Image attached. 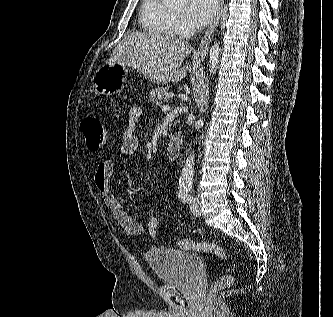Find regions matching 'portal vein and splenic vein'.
Here are the masks:
<instances>
[{
    "instance_id": "portal-vein-and-splenic-vein-1",
    "label": "portal vein and splenic vein",
    "mask_w": 333,
    "mask_h": 317,
    "mask_svg": "<svg viewBox=\"0 0 333 317\" xmlns=\"http://www.w3.org/2000/svg\"><path fill=\"white\" fill-rule=\"evenodd\" d=\"M169 110H170V106L169 105H163L162 106V111L167 112Z\"/></svg>"
}]
</instances>
